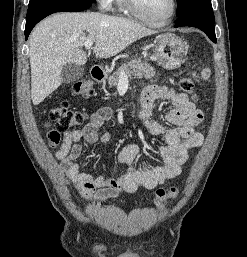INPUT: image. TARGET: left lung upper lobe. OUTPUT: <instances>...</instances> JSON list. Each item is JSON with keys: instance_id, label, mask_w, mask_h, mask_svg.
Masks as SVG:
<instances>
[{"instance_id": "obj_1", "label": "left lung upper lobe", "mask_w": 247, "mask_h": 257, "mask_svg": "<svg viewBox=\"0 0 247 257\" xmlns=\"http://www.w3.org/2000/svg\"><path fill=\"white\" fill-rule=\"evenodd\" d=\"M177 2V16L193 9H202L209 12L213 11L211 0H177Z\"/></svg>"}]
</instances>
